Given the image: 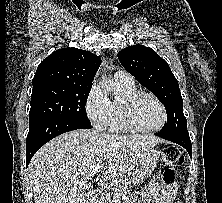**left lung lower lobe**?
Wrapping results in <instances>:
<instances>
[{
  "label": "left lung lower lobe",
  "mask_w": 222,
  "mask_h": 203,
  "mask_svg": "<svg viewBox=\"0 0 222 203\" xmlns=\"http://www.w3.org/2000/svg\"><path fill=\"white\" fill-rule=\"evenodd\" d=\"M155 135L183 146L188 151L190 157L192 156L191 140L188 133L183 134L176 132L173 133L159 132L156 133Z\"/></svg>",
  "instance_id": "obj_1"
}]
</instances>
